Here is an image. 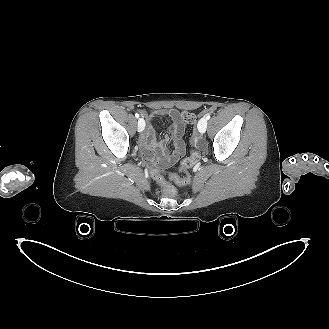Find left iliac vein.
<instances>
[{
	"mask_svg": "<svg viewBox=\"0 0 329 329\" xmlns=\"http://www.w3.org/2000/svg\"><path fill=\"white\" fill-rule=\"evenodd\" d=\"M198 131L200 133H205L206 129H207V119L206 118H202L199 120L198 125H197Z\"/></svg>",
	"mask_w": 329,
	"mask_h": 329,
	"instance_id": "4c4485c4",
	"label": "left iliac vein"
}]
</instances>
